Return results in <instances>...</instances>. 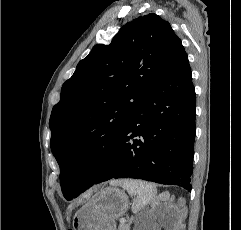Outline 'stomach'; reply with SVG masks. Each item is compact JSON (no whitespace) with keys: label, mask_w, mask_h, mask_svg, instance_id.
<instances>
[{"label":"stomach","mask_w":241,"mask_h":230,"mask_svg":"<svg viewBox=\"0 0 241 230\" xmlns=\"http://www.w3.org/2000/svg\"><path fill=\"white\" fill-rule=\"evenodd\" d=\"M128 208V196L123 190L103 188L75 213L72 230H116L115 221Z\"/></svg>","instance_id":"stomach-1"}]
</instances>
